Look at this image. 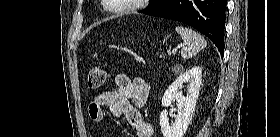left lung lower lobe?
<instances>
[{
    "instance_id": "1",
    "label": "left lung lower lobe",
    "mask_w": 280,
    "mask_h": 137,
    "mask_svg": "<svg viewBox=\"0 0 280 137\" xmlns=\"http://www.w3.org/2000/svg\"><path fill=\"white\" fill-rule=\"evenodd\" d=\"M227 0H163L143 12L187 24L207 36L224 54V27Z\"/></svg>"
}]
</instances>
